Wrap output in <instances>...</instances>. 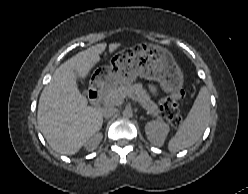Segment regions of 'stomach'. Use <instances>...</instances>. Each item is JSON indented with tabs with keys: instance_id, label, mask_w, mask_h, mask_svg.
<instances>
[{
	"instance_id": "obj_1",
	"label": "stomach",
	"mask_w": 248,
	"mask_h": 194,
	"mask_svg": "<svg viewBox=\"0 0 248 194\" xmlns=\"http://www.w3.org/2000/svg\"><path fill=\"white\" fill-rule=\"evenodd\" d=\"M137 76L159 82L165 92H173L183 84V74L172 54L160 46L142 43L131 52L111 58L102 85L131 84Z\"/></svg>"
}]
</instances>
